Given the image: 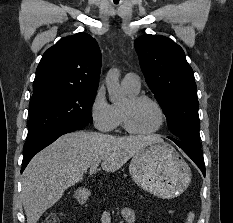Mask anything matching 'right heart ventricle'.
<instances>
[{
    "label": "right heart ventricle",
    "mask_w": 233,
    "mask_h": 223,
    "mask_svg": "<svg viewBox=\"0 0 233 223\" xmlns=\"http://www.w3.org/2000/svg\"><path fill=\"white\" fill-rule=\"evenodd\" d=\"M124 90L129 97L134 96V95L138 94V92H139V89L132 90V89H125L124 88ZM113 107H114V112H115V116H116L117 126H123L122 116H121L122 107L119 105H114Z\"/></svg>",
    "instance_id": "1"
}]
</instances>
